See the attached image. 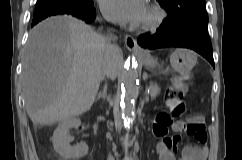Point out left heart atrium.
I'll return each mask as SVG.
<instances>
[{"instance_id": "39dd6f15", "label": "left heart atrium", "mask_w": 242, "mask_h": 160, "mask_svg": "<svg viewBox=\"0 0 242 160\" xmlns=\"http://www.w3.org/2000/svg\"><path fill=\"white\" fill-rule=\"evenodd\" d=\"M101 11L104 16L115 23H141L145 10V0H100Z\"/></svg>"}]
</instances>
